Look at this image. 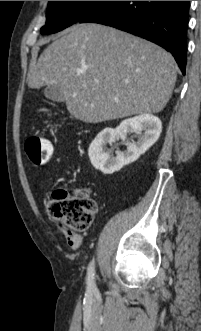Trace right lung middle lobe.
<instances>
[{
	"label": "right lung middle lobe",
	"instance_id": "obj_1",
	"mask_svg": "<svg viewBox=\"0 0 201 331\" xmlns=\"http://www.w3.org/2000/svg\"><path fill=\"white\" fill-rule=\"evenodd\" d=\"M105 1H49L42 34L55 33L79 22Z\"/></svg>",
	"mask_w": 201,
	"mask_h": 331
}]
</instances>
